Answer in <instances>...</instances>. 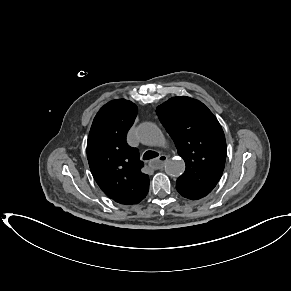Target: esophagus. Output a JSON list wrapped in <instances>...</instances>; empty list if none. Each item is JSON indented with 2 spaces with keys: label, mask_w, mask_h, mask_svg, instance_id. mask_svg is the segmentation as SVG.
Segmentation results:
<instances>
[{
  "label": "esophagus",
  "mask_w": 291,
  "mask_h": 291,
  "mask_svg": "<svg viewBox=\"0 0 291 291\" xmlns=\"http://www.w3.org/2000/svg\"><path fill=\"white\" fill-rule=\"evenodd\" d=\"M168 158L166 155H160L158 158L156 159H153L151 162H150V166L153 168V169H160L164 166V164L167 162Z\"/></svg>",
  "instance_id": "34e87169"
}]
</instances>
